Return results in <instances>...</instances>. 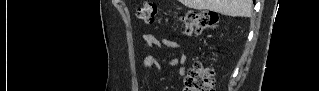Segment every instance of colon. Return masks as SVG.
<instances>
[{"instance_id": "5ec220e1", "label": "colon", "mask_w": 319, "mask_h": 91, "mask_svg": "<svg viewBox=\"0 0 319 91\" xmlns=\"http://www.w3.org/2000/svg\"><path fill=\"white\" fill-rule=\"evenodd\" d=\"M157 5L149 2L137 9L139 20L154 24L157 15ZM218 25V17L212 12H187L178 16V26L188 34H199L213 29ZM186 91H214L215 79L213 70L201 61H196L188 71L185 80Z\"/></svg>"}]
</instances>
